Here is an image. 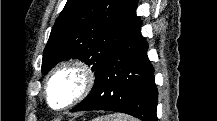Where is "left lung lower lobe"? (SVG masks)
<instances>
[{
    "mask_svg": "<svg viewBox=\"0 0 217 121\" xmlns=\"http://www.w3.org/2000/svg\"><path fill=\"white\" fill-rule=\"evenodd\" d=\"M140 29L141 22L136 17L97 72L91 92L71 112L102 109L127 113L142 121H157L154 68Z\"/></svg>",
    "mask_w": 217,
    "mask_h": 121,
    "instance_id": "0a47b994",
    "label": "left lung lower lobe"
}]
</instances>
